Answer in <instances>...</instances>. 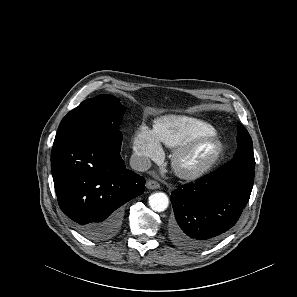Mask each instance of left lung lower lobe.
<instances>
[{
	"label": "left lung lower lobe",
	"instance_id": "0a47b994",
	"mask_svg": "<svg viewBox=\"0 0 297 297\" xmlns=\"http://www.w3.org/2000/svg\"><path fill=\"white\" fill-rule=\"evenodd\" d=\"M254 168V158H233L195 183L174 190L172 241L185 249H200L227 234L248 203Z\"/></svg>",
	"mask_w": 297,
	"mask_h": 297
}]
</instances>
